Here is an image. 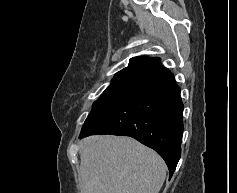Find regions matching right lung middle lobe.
Returning <instances> with one entry per match:
<instances>
[{
	"mask_svg": "<svg viewBox=\"0 0 237 193\" xmlns=\"http://www.w3.org/2000/svg\"><path fill=\"white\" fill-rule=\"evenodd\" d=\"M144 72V70H139L115 75L111 84L93 103V108L88 117L103 112L127 98L140 85Z\"/></svg>",
	"mask_w": 237,
	"mask_h": 193,
	"instance_id": "dd1d6c3e",
	"label": "right lung middle lobe"
}]
</instances>
